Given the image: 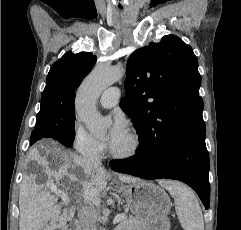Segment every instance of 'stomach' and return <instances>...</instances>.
I'll list each match as a JSON object with an SVG mask.
<instances>
[{
	"mask_svg": "<svg viewBox=\"0 0 241 230\" xmlns=\"http://www.w3.org/2000/svg\"><path fill=\"white\" fill-rule=\"evenodd\" d=\"M120 190L126 198V205L139 221L145 224V230H169L168 215L171 201L161 187L147 181L121 185Z\"/></svg>",
	"mask_w": 241,
	"mask_h": 230,
	"instance_id": "stomach-1",
	"label": "stomach"
}]
</instances>
